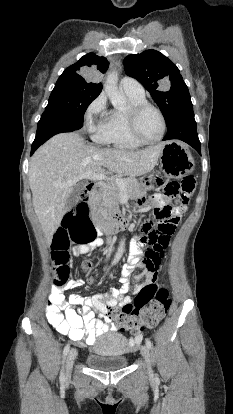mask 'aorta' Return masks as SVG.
<instances>
[{
    "instance_id": "aorta-1",
    "label": "aorta",
    "mask_w": 233,
    "mask_h": 414,
    "mask_svg": "<svg viewBox=\"0 0 233 414\" xmlns=\"http://www.w3.org/2000/svg\"><path fill=\"white\" fill-rule=\"evenodd\" d=\"M104 90L115 108H122L127 104V99L123 92L118 88V74L115 71L108 73L104 84ZM125 240L120 242L115 260H119L124 252Z\"/></svg>"
}]
</instances>
